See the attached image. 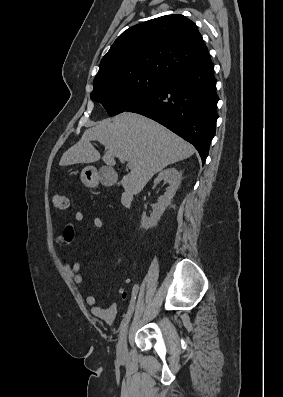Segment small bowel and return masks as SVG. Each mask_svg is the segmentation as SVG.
I'll use <instances>...</instances> for the list:
<instances>
[{"label":"small bowel","mask_w":283,"mask_h":397,"mask_svg":"<svg viewBox=\"0 0 283 397\" xmlns=\"http://www.w3.org/2000/svg\"><path fill=\"white\" fill-rule=\"evenodd\" d=\"M75 221L78 223H82L86 219V214L82 211H78L75 214ZM93 225L95 228L103 230L105 228V223L100 216H95L93 218ZM75 226L72 222L67 223L62 231V234L55 238L56 245L60 247H66L70 245L75 239ZM81 263H66L64 268L69 277L76 284H82L84 281V277L81 274ZM126 284L129 283V280H126ZM120 294L125 298L127 295V290L125 287L121 288ZM86 303L91 308V313L98 319L105 321L106 323L113 325L116 321L117 315V306L116 304H111L108 307H102L98 304L97 299L93 295H89L86 297Z\"/></svg>","instance_id":"c3829d8e"}]
</instances>
